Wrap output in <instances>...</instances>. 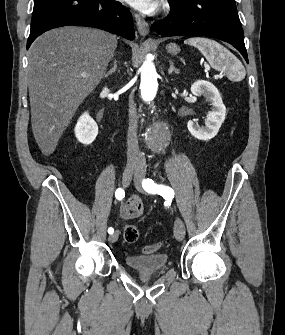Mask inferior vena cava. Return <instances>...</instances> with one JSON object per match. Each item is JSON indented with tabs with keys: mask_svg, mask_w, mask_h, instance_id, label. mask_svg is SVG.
I'll return each mask as SVG.
<instances>
[{
	"mask_svg": "<svg viewBox=\"0 0 285 335\" xmlns=\"http://www.w3.org/2000/svg\"><path fill=\"white\" fill-rule=\"evenodd\" d=\"M139 116H137L136 106L133 100V94L129 100V128H128V140H127V162L129 164H138L144 160L141 152H139L138 138H137V122Z\"/></svg>",
	"mask_w": 285,
	"mask_h": 335,
	"instance_id": "obj_1",
	"label": "inferior vena cava"
}]
</instances>
